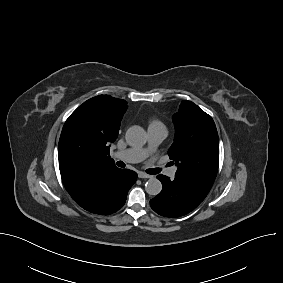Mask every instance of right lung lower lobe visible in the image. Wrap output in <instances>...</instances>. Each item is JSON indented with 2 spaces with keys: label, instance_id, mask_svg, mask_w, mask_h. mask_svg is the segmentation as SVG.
<instances>
[{
  "label": "right lung lower lobe",
  "instance_id": "1",
  "mask_svg": "<svg viewBox=\"0 0 283 283\" xmlns=\"http://www.w3.org/2000/svg\"><path fill=\"white\" fill-rule=\"evenodd\" d=\"M136 180L134 171L108 167L83 180L68 193L85 210L105 215L124 205L127 192Z\"/></svg>",
  "mask_w": 283,
  "mask_h": 283
}]
</instances>
